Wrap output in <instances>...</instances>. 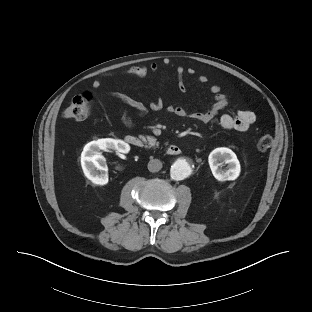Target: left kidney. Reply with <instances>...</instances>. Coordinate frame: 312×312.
<instances>
[{
  "instance_id": "left-kidney-1",
  "label": "left kidney",
  "mask_w": 312,
  "mask_h": 312,
  "mask_svg": "<svg viewBox=\"0 0 312 312\" xmlns=\"http://www.w3.org/2000/svg\"><path fill=\"white\" fill-rule=\"evenodd\" d=\"M208 162L213 176L218 181L235 180L241 171L240 163L236 154L226 147L214 149L209 154ZM224 163L227 164V169L219 168V166Z\"/></svg>"
}]
</instances>
